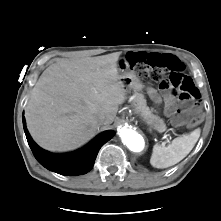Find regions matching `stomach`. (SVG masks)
Wrapping results in <instances>:
<instances>
[{"mask_svg":"<svg viewBox=\"0 0 221 221\" xmlns=\"http://www.w3.org/2000/svg\"><path fill=\"white\" fill-rule=\"evenodd\" d=\"M120 81L124 84L127 90L142 91L145 87L135 73L129 69L122 70ZM144 120L150 125L151 128H154V121L152 122L148 117H144Z\"/></svg>","mask_w":221,"mask_h":221,"instance_id":"1","label":"stomach"}]
</instances>
